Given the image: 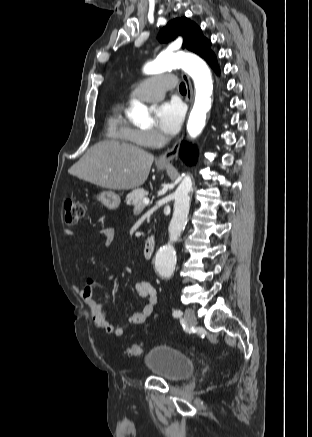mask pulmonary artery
I'll return each instance as SVG.
<instances>
[{"mask_svg":"<svg viewBox=\"0 0 312 437\" xmlns=\"http://www.w3.org/2000/svg\"><path fill=\"white\" fill-rule=\"evenodd\" d=\"M176 78L171 74L159 75L140 82L130 93L131 98L142 101H157L165 92L176 85Z\"/></svg>","mask_w":312,"mask_h":437,"instance_id":"pulmonary-artery-1","label":"pulmonary artery"}]
</instances>
